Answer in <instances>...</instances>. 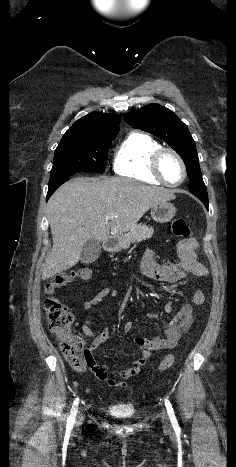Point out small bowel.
<instances>
[{
    "mask_svg": "<svg viewBox=\"0 0 236 467\" xmlns=\"http://www.w3.org/2000/svg\"><path fill=\"white\" fill-rule=\"evenodd\" d=\"M177 252L179 256L178 261L168 265L158 263L155 259L154 251L152 249L147 250L142 261V268L145 275L152 280L166 283L179 282L188 275L197 277L207 276L208 271L206 267L198 260V244L195 241L185 240L180 242ZM111 292V287L103 288L91 299L85 301L83 303L84 312H90ZM205 299L204 292L197 288L191 296V302L184 304L178 312H176L174 303H167L164 307L165 312L175 315L165 326V337H154L151 339L134 337L133 342L139 348L140 356L133 361L131 366L121 370V378L127 380L138 375L153 351L174 348L192 323L193 307L202 306L205 303ZM146 316L154 318L156 315L153 312H148ZM136 323H139V320H136ZM132 327V322H125L123 324V331L129 333ZM81 328L84 334L92 339L90 344L91 350H96L103 343L113 340L111 333L107 329L96 330L87 316L84 317ZM89 368L99 380L106 382L110 386L119 388L126 387L125 381L111 378L106 367L97 364L93 357Z\"/></svg>",
    "mask_w": 236,
    "mask_h": 467,
    "instance_id": "small-bowel-1",
    "label": "small bowel"
}]
</instances>
